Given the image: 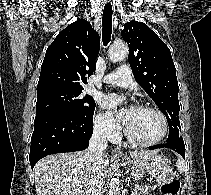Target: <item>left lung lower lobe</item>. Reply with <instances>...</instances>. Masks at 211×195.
Wrapping results in <instances>:
<instances>
[{
  "instance_id": "obj_1",
  "label": "left lung lower lobe",
  "mask_w": 211,
  "mask_h": 195,
  "mask_svg": "<svg viewBox=\"0 0 211 195\" xmlns=\"http://www.w3.org/2000/svg\"><path fill=\"white\" fill-rule=\"evenodd\" d=\"M158 148H169L178 152L182 157H185V145L182 137H178L174 140H167L166 143L152 146L149 149Z\"/></svg>"
}]
</instances>
